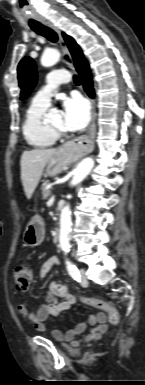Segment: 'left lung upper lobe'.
<instances>
[{
  "label": "left lung upper lobe",
  "instance_id": "5c2ea615",
  "mask_svg": "<svg viewBox=\"0 0 145 385\" xmlns=\"http://www.w3.org/2000/svg\"><path fill=\"white\" fill-rule=\"evenodd\" d=\"M18 81L21 88V99H26L34 88L36 77V65L30 57H24L18 65Z\"/></svg>",
  "mask_w": 145,
  "mask_h": 385
}]
</instances>
